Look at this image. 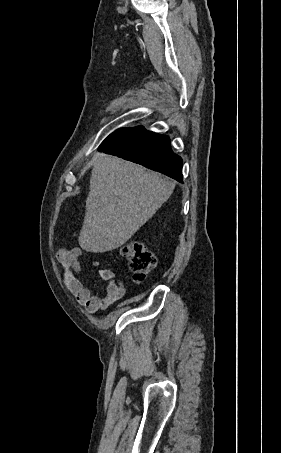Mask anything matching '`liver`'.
Listing matches in <instances>:
<instances>
[{
	"label": "liver",
	"mask_w": 281,
	"mask_h": 453,
	"mask_svg": "<svg viewBox=\"0 0 281 453\" xmlns=\"http://www.w3.org/2000/svg\"><path fill=\"white\" fill-rule=\"evenodd\" d=\"M175 182L159 172L97 152L78 243L87 253L124 245L168 200Z\"/></svg>",
	"instance_id": "1"
}]
</instances>
